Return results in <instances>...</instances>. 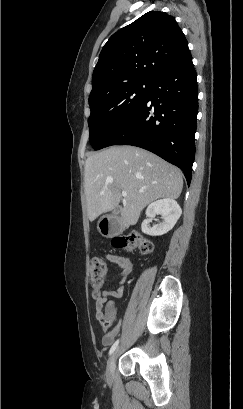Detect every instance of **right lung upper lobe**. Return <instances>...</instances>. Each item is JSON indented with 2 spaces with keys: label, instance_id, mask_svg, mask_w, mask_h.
I'll list each match as a JSON object with an SVG mask.
<instances>
[{
  "label": "right lung upper lobe",
  "instance_id": "1",
  "mask_svg": "<svg viewBox=\"0 0 243 409\" xmlns=\"http://www.w3.org/2000/svg\"><path fill=\"white\" fill-rule=\"evenodd\" d=\"M187 49L174 17L147 12L104 45L93 72L89 104L130 83L152 84Z\"/></svg>",
  "mask_w": 243,
  "mask_h": 409
}]
</instances>
